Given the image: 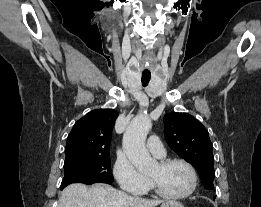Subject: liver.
Instances as JSON below:
<instances>
[{
    "label": "liver",
    "mask_w": 261,
    "mask_h": 207,
    "mask_svg": "<svg viewBox=\"0 0 261 207\" xmlns=\"http://www.w3.org/2000/svg\"><path fill=\"white\" fill-rule=\"evenodd\" d=\"M163 202L132 197L104 183L93 184L90 188L75 183L62 191L58 207H156Z\"/></svg>",
    "instance_id": "liver-1"
}]
</instances>
